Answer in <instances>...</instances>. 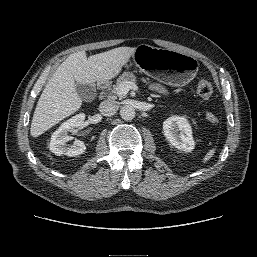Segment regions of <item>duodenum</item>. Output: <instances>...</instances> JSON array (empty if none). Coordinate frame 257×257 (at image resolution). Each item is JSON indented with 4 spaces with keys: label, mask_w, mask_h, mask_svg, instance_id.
<instances>
[{
    "label": "duodenum",
    "mask_w": 257,
    "mask_h": 257,
    "mask_svg": "<svg viewBox=\"0 0 257 257\" xmlns=\"http://www.w3.org/2000/svg\"><path fill=\"white\" fill-rule=\"evenodd\" d=\"M105 84L104 83H99V90H100V97L103 98L104 92H105Z\"/></svg>",
    "instance_id": "1"
}]
</instances>
